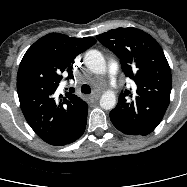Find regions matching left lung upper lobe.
I'll return each instance as SVG.
<instances>
[{
    "label": "left lung upper lobe",
    "instance_id": "left-lung-upper-lobe-1",
    "mask_svg": "<svg viewBox=\"0 0 187 187\" xmlns=\"http://www.w3.org/2000/svg\"><path fill=\"white\" fill-rule=\"evenodd\" d=\"M97 39L120 59L123 72L136 83L133 91L121 92L110 115L139 134L151 133L166 112L172 86L162 48L151 35L133 27L113 29Z\"/></svg>",
    "mask_w": 187,
    "mask_h": 187
}]
</instances>
